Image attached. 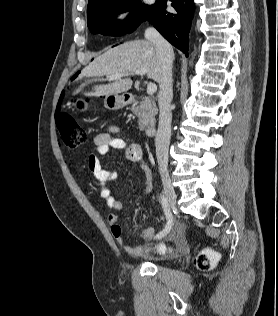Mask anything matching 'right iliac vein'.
Wrapping results in <instances>:
<instances>
[{
    "instance_id": "right-iliac-vein-1",
    "label": "right iliac vein",
    "mask_w": 278,
    "mask_h": 316,
    "mask_svg": "<svg viewBox=\"0 0 278 316\" xmlns=\"http://www.w3.org/2000/svg\"><path fill=\"white\" fill-rule=\"evenodd\" d=\"M161 179L166 193L167 202L171 207H173L176 205V193L171 183V179L167 174H162Z\"/></svg>"
}]
</instances>
